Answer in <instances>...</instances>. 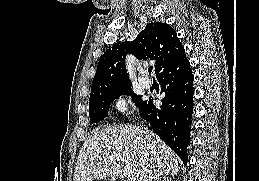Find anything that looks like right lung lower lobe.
Here are the masks:
<instances>
[{
	"label": "right lung lower lobe",
	"instance_id": "98d812e1",
	"mask_svg": "<svg viewBox=\"0 0 259 181\" xmlns=\"http://www.w3.org/2000/svg\"><path fill=\"white\" fill-rule=\"evenodd\" d=\"M161 93L165 96L162 105L156 107L153 99L145 101L140 115L154 132L187 163V146L193 114V74L185 51L171 60L157 75Z\"/></svg>",
	"mask_w": 259,
	"mask_h": 181
}]
</instances>
